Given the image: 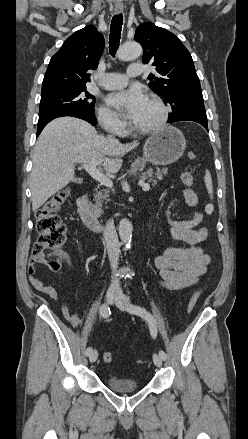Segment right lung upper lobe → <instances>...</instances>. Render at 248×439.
<instances>
[{
  "mask_svg": "<svg viewBox=\"0 0 248 439\" xmlns=\"http://www.w3.org/2000/svg\"><path fill=\"white\" fill-rule=\"evenodd\" d=\"M104 47V38L88 25L72 34L51 58L45 73L41 95L86 87L90 69H96Z\"/></svg>",
  "mask_w": 248,
  "mask_h": 439,
  "instance_id": "right-lung-upper-lobe-1",
  "label": "right lung upper lobe"
}]
</instances>
